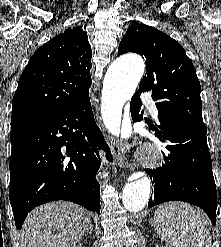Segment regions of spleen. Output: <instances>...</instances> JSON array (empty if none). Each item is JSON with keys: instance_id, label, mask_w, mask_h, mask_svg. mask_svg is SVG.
<instances>
[{"instance_id": "3e777b00", "label": "spleen", "mask_w": 221, "mask_h": 247, "mask_svg": "<svg viewBox=\"0 0 221 247\" xmlns=\"http://www.w3.org/2000/svg\"><path fill=\"white\" fill-rule=\"evenodd\" d=\"M156 233L174 247H211V236L200 212L192 205L170 202L154 214Z\"/></svg>"}]
</instances>
